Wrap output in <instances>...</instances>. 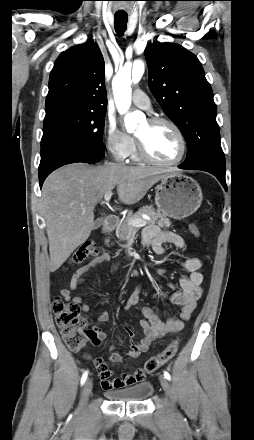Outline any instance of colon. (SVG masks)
<instances>
[{"mask_svg": "<svg viewBox=\"0 0 254 440\" xmlns=\"http://www.w3.org/2000/svg\"><path fill=\"white\" fill-rule=\"evenodd\" d=\"M189 232L195 237L200 236L199 227L196 224H190ZM97 247L92 242H86L80 245L71 255L70 262L74 264L83 263L88 258L96 256ZM53 310L57 326L59 327L63 340L68 348L78 350L94 336L92 329L87 326V321L80 315L79 307L73 302H67L57 298L53 302ZM179 341H172L162 352L149 358L144 364V370L147 373H153L162 365L171 360L178 351Z\"/></svg>", "mask_w": 254, "mask_h": 440, "instance_id": "obj_1", "label": "colon"}]
</instances>
